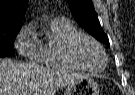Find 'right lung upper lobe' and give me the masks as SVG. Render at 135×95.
Masks as SVG:
<instances>
[{
  "mask_svg": "<svg viewBox=\"0 0 135 95\" xmlns=\"http://www.w3.org/2000/svg\"><path fill=\"white\" fill-rule=\"evenodd\" d=\"M28 0H0V35L20 31Z\"/></svg>",
  "mask_w": 135,
  "mask_h": 95,
  "instance_id": "1",
  "label": "right lung upper lobe"
}]
</instances>
